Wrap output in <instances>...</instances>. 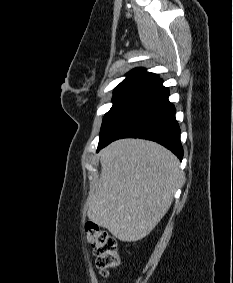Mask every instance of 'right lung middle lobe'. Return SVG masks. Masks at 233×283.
<instances>
[{
    "label": "right lung middle lobe",
    "mask_w": 233,
    "mask_h": 283,
    "mask_svg": "<svg viewBox=\"0 0 233 283\" xmlns=\"http://www.w3.org/2000/svg\"><path fill=\"white\" fill-rule=\"evenodd\" d=\"M150 82L135 81L118 85L113 92V106L105 114L100 131L99 146L107 139L111 130L120 121L140 94L150 86Z\"/></svg>",
    "instance_id": "right-lung-middle-lobe-1"
}]
</instances>
